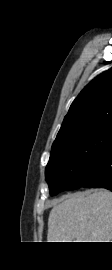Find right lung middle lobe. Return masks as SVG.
Instances as JSON below:
<instances>
[{
    "instance_id": "1",
    "label": "right lung middle lobe",
    "mask_w": 112,
    "mask_h": 270,
    "mask_svg": "<svg viewBox=\"0 0 112 270\" xmlns=\"http://www.w3.org/2000/svg\"><path fill=\"white\" fill-rule=\"evenodd\" d=\"M112 143V121L97 125L52 147L45 169L51 195L80 188L95 159Z\"/></svg>"
}]
</instances>
